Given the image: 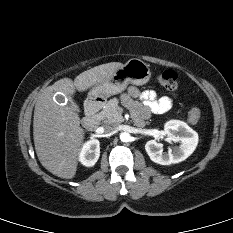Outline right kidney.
<instances>
[{"mask_svg": "<svg viewBox=\"0 0 233 233\" xmlns=\"http://www.w3.org/2000/svg\"><path fill=\"white\" fill-rule=\"evenodd\" d=\"M100 156V143L97 139H92L87 141L80 153H79V161L87 166V167H91L93 166L98 158Z\"/></svg>", "mask_w": 233, "mask_h": 233, "instance_id": "right-kidney-1", "label": "right kidney"}]
</instances>
